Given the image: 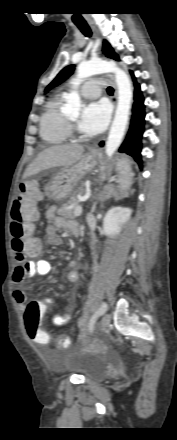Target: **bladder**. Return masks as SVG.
I'll return each mask as SVG.
<instances>
[{
  "instance_id": "obj_1",
  "label": "bladder",
  "mask_w": 177,
  "mask_h": 440,
  "mask_svg": "<svg viewBox=\"0 0 177 440\" xmlns=\"http://www.w3.org/2000/svg\"><path fill=\"white\" fill-rule=\"evenodd\" d=\"M63 365L78 372L86 380H100L105 374V358L101 353H88L64 347Z\"/></svg>"
}]
</instances>
